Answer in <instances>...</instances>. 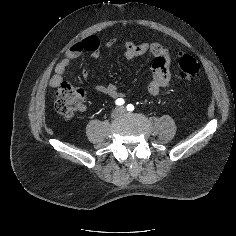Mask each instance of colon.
Here are the masks:
<instances>
[{"mask_svg":"<svg viewBox=\"0 0 236 236\" xmlns=\"http://www.w3.org/2000/svg\"><path fill=\"white\" fill-rule=\"evenodd\" d=\"M180 76L195 79L200 73L199 62L190 55H183L178 62ZM86 94L83 89L62 83L56 93V111L64 118H72L81 107Z\"/></svg>","mask_w":236,"mask_h":236,"instance_id":"colon-1","label":"colon"}]
</instances>
